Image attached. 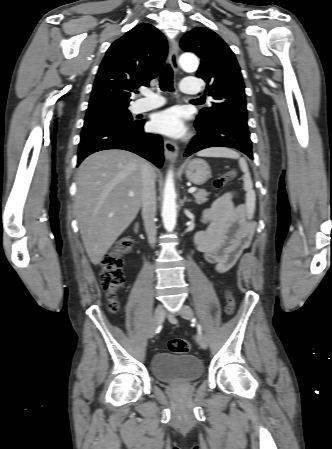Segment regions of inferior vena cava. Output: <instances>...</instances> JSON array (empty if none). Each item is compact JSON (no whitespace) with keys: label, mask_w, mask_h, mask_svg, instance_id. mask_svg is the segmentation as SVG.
<instances>
[{"label":"inferior vena cava","mask_w":332,"mask_h":449,"mask_svg":"<svg viewBox=\"0 0 332 449\" xmlns=\"http://www.w3.org/2000/svg\"><path fill=\"white\" fill-rule=\"evenodd\" d=\"M141 178L143 186L142 216L149 243L153 246L157 232L155 225L156 190L155 172L150 164L143 163L141 166Z\"/></svg>","instance_id":"1"}]
</instances>
